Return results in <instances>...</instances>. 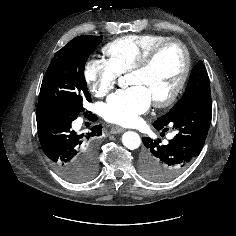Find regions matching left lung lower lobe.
Returning <instances> with one entry per match:
<instances>
[{"label":"left lung lower lobe","mask_w":236,"mask_h":236,"mask_svg":"<svg viewBox=\"0 0 236 236\" xmlns=\"http://www.w3.org/2000/svg\"><path fill=\"white\" fill-rule=\"evenodd\" d=\"M212 117L211 95H205L164 124H153L157 130L175 131L168 144L160 139L143 137L146 149L141 156L142 174L155 182H167L181 174L199 155L205 143Z\"/></svg>","instance_id":"obj_1"}]
</instances>
